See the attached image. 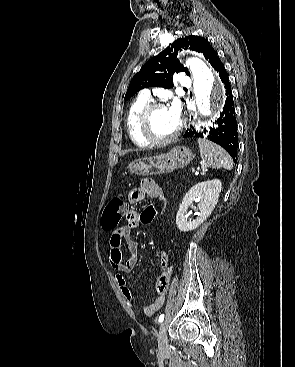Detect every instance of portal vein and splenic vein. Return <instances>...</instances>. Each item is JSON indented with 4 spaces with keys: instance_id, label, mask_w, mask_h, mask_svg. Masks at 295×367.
<instances>
[{
    "instance_id": "1",
    "label": "portal vein and splenic vein",
    "mask_w": 295,
    "mask_h": 367,
    "mask_svg": "<svg viewBox=\"0 0 295 367\" xmlns=\"http://www.w3.org/2000/svg\"><path fill=\"white\" fill-rule=\"evenodd\" d=\"M192 173H196V169L195 168H191Z\"/></svg>"
}]
</instances>
